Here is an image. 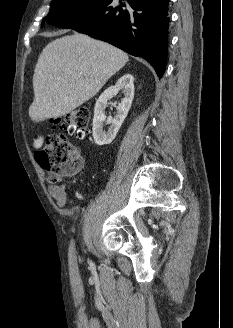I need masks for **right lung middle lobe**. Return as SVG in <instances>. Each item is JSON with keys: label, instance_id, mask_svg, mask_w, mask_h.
I'll return each instance as SVG.
<instances>
[{"label": "right lung middle lobe", "instance_id": "right-lung-middle-lobe-1", "mask_svg": "<svg viewBox=\"0 0 233 328\" xmlns=\"http://www.w3.org/2000/svg\"><path fill=\"white\" fill-rule=\"evenodd\" d=\"M96 1L97 0H53L51 3L50 12L44 20L50 24H53L57 20L80 11Z\"/></svg>", "mask_w": 233, "mask_h": 328}]
</instances>
